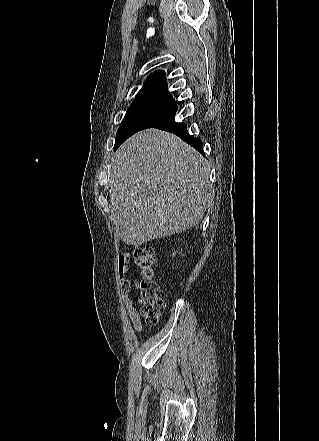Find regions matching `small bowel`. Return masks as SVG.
Instances as JSON below:
<instances>
[{
    "label": "small bowel",
    "mask_w": 319,
    "mask_h": 441,
    "mask_svg": "<svg viewBox=\"0 0 319 441\" xmlns=\"http://www.w3.org/2000/svg\"><path fill=\"white\" fill-rule=\"evenodd\" d=\"M129 259H130L129 254H123L120 255L119 257V262L123 268L124 274H127L130 271ZM130 290H131V284L128 281H125V283H123V300L126 307V311L134 328L140 331L142 329L140 314L137 311V309L133 306L132 300L129 297Z\"/></svg>",
    "instance_id": "small-bowel-1"
}]
</instances>
